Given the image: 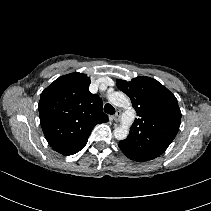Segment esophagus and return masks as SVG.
I'll list each match as a JSON object with an SVG mask.
<instances>
[{"label":"esophagus","mask_w":211,"mask_h":211,"mask_svg":"<svg viewBox=\"0 0 211 211\" xmlns=\"http://www.w3.org/2000/svg\"><path fill=\"white\" fill-rule=\"evenodd\" d=\"M120 117H121V111H117L113 116H112V119L115 121V122H118L120 120Z\"/></svg>","instance_id":"obj_1"}]
</instances>
